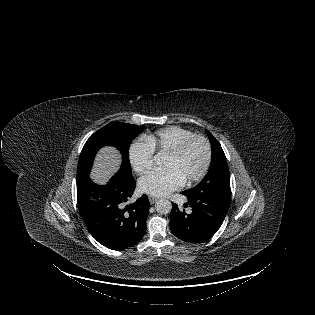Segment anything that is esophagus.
<instances>
[{"label": "esophagus", "instance_id": "34e87169", "mask_svg": "<svg viewBox=\"0 0 315 315\" xmlns=\"http://www.w3.org/2000/svg\"><path fill=\"white\" fill-rule=\"evenodd\" d=\"M158 199L156 197L150 196L149 201L151 204H154Z\"/></svg>", "mask_w": 315, "mask_h": 315}]
</instances>
